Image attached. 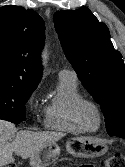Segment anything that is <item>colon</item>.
Segmentation results:
<instances>
[{"label":"colon","instance_id":"1","mask_svg":"<svg viewBox=\"0 0 125 167\" xmlns=\"http://www.w3.org/2000/svg\"><path fill=\"white\" fill-rule=\"evenodd\" d=\"M10 167H18L17 164H11ZM81 167H96L93 165H82ZM105 167H125V156L119 153L110 156L106 162Z\"/></svg>","mask_w":125,"mask_h":167}]
</instances>
